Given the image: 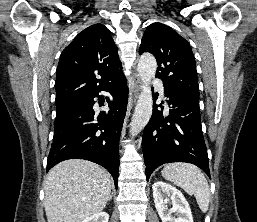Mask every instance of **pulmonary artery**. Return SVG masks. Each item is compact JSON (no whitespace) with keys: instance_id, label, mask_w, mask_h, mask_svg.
<instances>
[{"instance_id":"pulmonary-artery-1","label":"pulmonary artery","mask_w":257,"mask_h":222,"mask_svg":"<svg viewBox=\"0 0 257 222\" xmlns=\"http://www.w3.org/2000/svg\"><path fill=\"white\" fill-rule=\"evenodd\" d=\"M152 85L155 86L161 94H163V85H162V82L160 80L154 79L152 81Z\"/></svg>"}]
</instances>
